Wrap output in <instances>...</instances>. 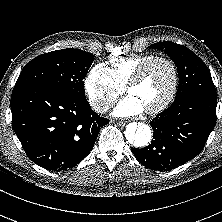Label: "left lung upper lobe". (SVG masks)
<instances>
[{
    "label": "left lung upper lobe",
    "instance_id": "5c2ea615",
    "mask_svg": "<svg viewBox=\"0 0 222 222\" xmlns=\"http://www.w3.org/2000/svg\"><path fill=\"white\" fill-rule=\"evenodd\" d=\"M149 48L165 49L167 55L176 64L179 87L175 100L192 94L217 97L209 69L190 49L170 41L155 43Z\"/></svg>",
    "mask_w": 222,
    "mask_h": 222
}]
</instances>
